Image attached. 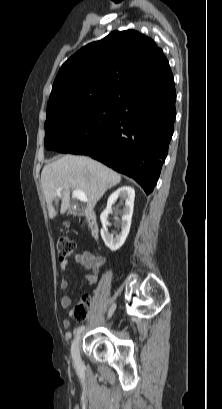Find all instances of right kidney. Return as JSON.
<instances>
[{"instance_id": "1", "label": "right kidney", "mask_w": 222, "mask_h": 409, "mask_svg": "<svg viewBox=\"0 0 222 409\" xmlns=\"http://www.w3.org/2000/svg\"><path fill=\"white\" fill-rule=\"evenodd\" d=\"M120 198L121 201H125L124 208L120 211L121 220L118 221V226L121 227V232H109L108 215L112 211V205ZM135 190L130 186H123L113 192L107 201L106 209L101 213L100 220L102 223L101 237L105 245L111 250H118L125 242L131 226V220L134 208Z\"/></svg>"}]
</instances>
